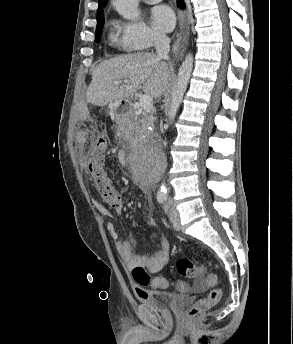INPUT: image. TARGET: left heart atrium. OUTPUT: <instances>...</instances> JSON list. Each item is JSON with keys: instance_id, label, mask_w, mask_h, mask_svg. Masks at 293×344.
Here are the masks:
<instances>
[{"instance_id": "39dd6f15", "label": "left heart atrium", "mask_w": 293, "mask_h": 344, "mask_svg": "<svg viewBox=\"0 0 293 344\" xmlns=\"http://www.w3.org/2000/svg\"><path fill=\"white\" fill-rule=\"evenodd\" d=\"M151 22L155 29L168 32L175 23L173 11L165 5L156 6L151 10Z\"/></svg>"}]
</instances>
